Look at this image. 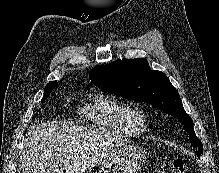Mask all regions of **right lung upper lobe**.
Returning <instances> with one entry per match:
<instances>
[{
	"mask_svg": "<svg viewBox=\"0 0 219 173\" xmlns=\"http://www.w3.org/2000/svg\"><path fill=\"white\" fill-rule=\"evenodd\" d=\"M52 84H58V83H57V81H51V82H49V83L47 84V86H48V85H52Z\"/></svg>",
	"mask_w": 219,
	"mask_h": 173,
	"instance_id": "cb5924a9",
	"label": "right lung upper lobe"
}]
</instances>
